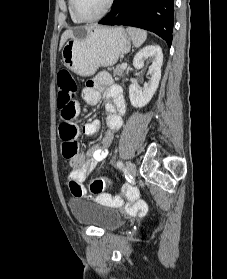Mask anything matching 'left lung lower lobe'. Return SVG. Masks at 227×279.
Wrapping results in <instances>:
<instances>
[{
    "mask_svg": "<svg viewBox=\"0 0 227 279\" xmlns=\"http://www.w3.org/2000/svg\"><path fill=\"white\" fill-rule=\"evenodd\" d=\"M173 17L174 0H115L111 11L98 23L143 28L171 46Z\"/></svg>",
    "mask_w": 227,
    "mask_h": 279,
    "instance_id": "0a47b994",
    "label": "left lung lower lobe"
}]
</instances>
